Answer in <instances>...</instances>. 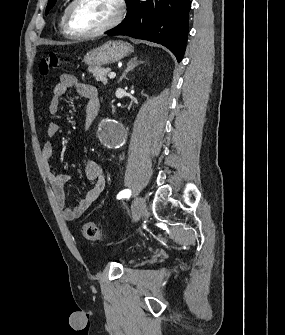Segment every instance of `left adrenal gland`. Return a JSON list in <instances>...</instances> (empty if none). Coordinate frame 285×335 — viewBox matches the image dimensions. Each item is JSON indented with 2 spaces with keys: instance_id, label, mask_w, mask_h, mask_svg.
<instances>
[{
  "instance_id": "a2214340",
  "label": "left adrenal gland",
  "mask_w": 285,
  "mask_h": 335,
  "mask_svg": "<svg viewBox=\"0 0 285 335\" xmlns=\"http://www.w3.org/2000/svg\"><path fill=\"white\" fill-rule=\"evenodd\" d=\"M139 64H143V62H141V60H137V58H131V60H129L128 64H127V68H125L120 80H118V82H122L123 78H126L128 72H131V70H134V68H136V66H139Z\"/></svg>"
}]
</instances>
